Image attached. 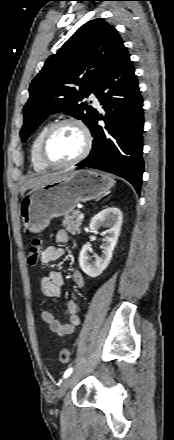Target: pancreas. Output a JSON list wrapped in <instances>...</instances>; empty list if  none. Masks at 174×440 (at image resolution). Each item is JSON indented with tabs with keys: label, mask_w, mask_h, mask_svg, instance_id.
Wrapping results in <instances>:
<instances>
[{
	"label": "pancreas",
	"mask_w": 174,
	"mask_h": 440,
	"mask_svg": "<svg viewBox=\"0 0 174 440\" xmlns=\"http://www.w3.org/2000/svg\"><path fill=\"white\" fill-rule=\"evenodd\" d=\"M79 214L80 210L76 209L72 213L67 214L62 222V225L65 227V229L74 235L80 233V226L82 222L78 218Z\"/></svg>",
	"instance_id": "obj_1"
}]
</instances>
